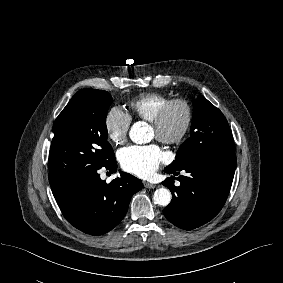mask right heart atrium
<instances>
[{"label": "right heart atrium", "instance_id": "right-heart-atrium-1", "mask_svg": "<svg viewBox=\"0 0 283 283\" xmlns=\"http://www.w3.org/2000/svg\"><path fill=\"white\" fill-rule=\"evenodd\" d=\"M131 124L130 116L119 108H111L105 116V131L115 145H122L127 140Z\"/></svg>", "mask_w": 283, "mask_h": 283}]
</instances>
